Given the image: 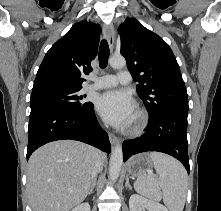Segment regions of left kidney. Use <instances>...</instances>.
<instances>
[{
  "instance_id": "1",
  "label": "left kidney",
  "mask_w": 221,
  "mask_h": 211,
  "mask_svg": "<svg viewBox=\"0 0 221 211\" xmlns=\"http://www.w3.org/2000/svg\"><path fill=\"white\" fill-rule=\"evenodd\" d=\"M129 209L130 211H168L162 204L137 194L130 196Z\"/></svg>"
}]
</instances>
